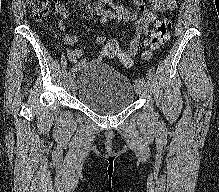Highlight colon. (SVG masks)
Here are the masks:
<instances>
[{"instance_id":"5ec220e1","label":"colon","mask_w":219,"mask_h":192,"mask_svg":"<svg viewBox=\"0 0 219 192\" xmlns=\"http://www.w3.org/2000/svg\"><path fill=\"white\" fill-rule=\"evenodd\" d=\"M31 11L33 16L37 20L45 19L50 12L49 0H31ZM172 27V23L169 19H162L157 22L155 28L152 30L150 37L139 43H132L127 49L120 48L118 42L114 39H110L106 42L101 50V55L105 58L118 59L126 66L132 64V57L136 52L144 50V53H151L157 49L168 39L169 30Z\"/></svg>"}]
</instances>
